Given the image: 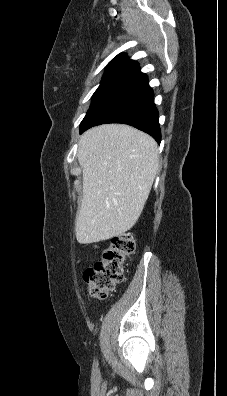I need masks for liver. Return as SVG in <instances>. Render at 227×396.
I'll list each match as a JSON object with an SVG mask.
<instances>
[{
  "label": "liver",
  "mask_w": 227,
  "mask_h": 396,
  "mask_svg": "<svg viewBox=\"0 0 227 396\" xmlns=\"http://www.w3.org/2000/svg\"><path fill=\"white\" fill-rule=\"evenodd\" d=\"M77 158L83 173L77 241L100 242L130 230L158 171L155 140L128 125L104 124L83 133Z\"/></svg>",
  "instance_id": "1"
}]
</instances>
